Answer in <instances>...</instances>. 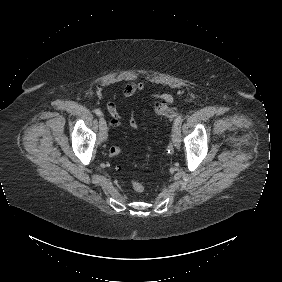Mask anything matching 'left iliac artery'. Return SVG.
<instances>
[{
    "mask_svg": "<svg viewBox=\"0 0 282 282\" xmlns=\"http://www.w3.org/2000/svg\"><path fill=\"white\" fill-rule=\"evenodd\" d=\"M181 121H182V115L178 116L177 119L175 120L173 129L177 128L180 125Z\"/></svg>",
    "mask_w": 282,
    "mask_h": 282,
    "instance_id": "44dca946",
    "label": "left iliac artery"
}]
</instances>
